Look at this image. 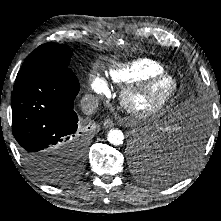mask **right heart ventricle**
<instances>
[{"label":"right heart ventricle","instance_id":"1","mask_svg":"<svg viewBox=\"0 0 221 221\" xmlns=\"http://www.w3.org/2000/svg\"><path fill=\"white\" fill-rule=\"evenodd\" d=\"M164 66L152 59L139 58L109 71L110 79L119 85H131L164 72Z\"/></svg>","mask_w":221,"mask_h":221}]
</instances>
